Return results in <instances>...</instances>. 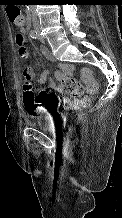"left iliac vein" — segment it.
Wrapping results in <instances>:
<instances>
[{
    "label": "left iliac vein",
    "instance_id": "1",
    "mask_svg": "<svg viewBox=\"0 0 122 218\" xmlns=\"http://www.w3.org/2000/svg\"><path fill=\"white\" fill-rule=\"evenodd\" d=\"M39 39L42 43H45V39L43 37H39Z\"/></svg>",
    "mask_w": 122,
    "mask_h": 218
}]
</instances>
